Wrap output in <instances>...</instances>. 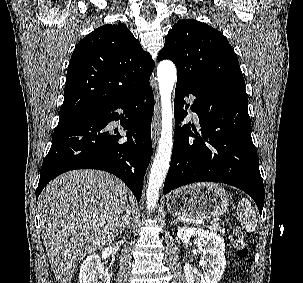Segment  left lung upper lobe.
<instances>
[{
	"instance_id": "1",
	"label": "left lung upper lobe",
	"mask_w": 303,
	"mask_h": 283,
	"mask_svg": "<svg viewBox=\"0 0 303 283\" xmlns=\"http://www.w3.org/2000/svg\"><path fill=\"white\" fill-rule=\"evenodd\" d=\"M172 60L177 80L188 85L224 90L247 97L238 59L225 36L211 26L182 19L165 38L158 60Z\"/></svg>"
}]
</instances>
